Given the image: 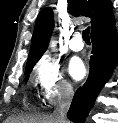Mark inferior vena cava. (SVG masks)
Returning a JSON list of instances; mask_svg holds the SVG:
<instances>
[{
	"label": "inferior vena cava",
	"mask_w": 118,
	"mask_h": 123,
	"mask_svg": "<svg viewBox=\"0 0 118 123\" xmlns=\"http://www.w3.org/2000/svg\"><path fill=\"white\" fill-rule=\"evenodd\" d=\"M73 97V88L70 84H64L59 89L57 105L53 116L58 123H67L66 115Z\"/></svg>",
	"instance_id": "inferior-vena-cava-1"
}]
</instances>
